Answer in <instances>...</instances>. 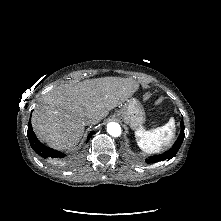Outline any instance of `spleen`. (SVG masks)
Wrapping results in <instances>:
<instances>
[{"label":"spleen","instance_id":"spleen-1","mask_svg":"<svg viewBox=\"0 0 221 221\" xmlns=\"http://www.w3.org/2000/svg\"><path fill=\"white\" fill-rule=\"evenodd\" d=\"M175 130V120L170 118L164 126L152 130L140 128L135 132L137 144L146 153H157L170 145Z\"/></svg>","mask_w":221,"mask_h":221}]
</instances>
